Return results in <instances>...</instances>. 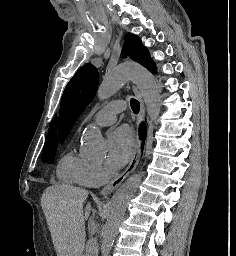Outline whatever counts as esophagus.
<instances>
[{
	"label": "esophagus",
	"instance_id": "obj_1",
	"mask_svg": "<svg viewBox=\"0 0 236 256\" xmlns=\"http://www.w3.org/2000/svg\"><path fill=\"white\" fill-rule=\"evenodd\" d=\"M132 89L140 103V111L137 116V125L139 127V124L145 119V105L139 90L134 85H132ZM140 157L141 140L139 139V136L137 134L136 145L130 163L124 171H122L118 176H116L106 186H104V188H102L100 194H102L103 196H108L110 193H113V191H115L118 186H120V184L130 175V173L135 170L136 166L139 163Z\"/></svg>",
	"mask_w": 236,
	"mask_h": 256
}]
</instances>
